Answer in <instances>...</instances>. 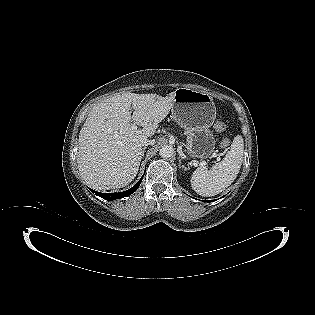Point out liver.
<instances>
[{"mask_svg": "<svg viewBox=\"0 0 315 315\" xmlns=\"http://www.w3.org/2000/svg\"><path fill=\"white\" fill-rule=\"evenodd\" d=\"M174 94L160 97L126 92L91 109L78 140V167L87 184L108 190L133 181L143 156L142 141L154 135L158 124L168 115ZM132 121L143 128L134 130Z\"/></svg>", "mask_w": 315, "mask_h": 315, "instance_id": "obj_1", "label": "liver"}]
</instances>
